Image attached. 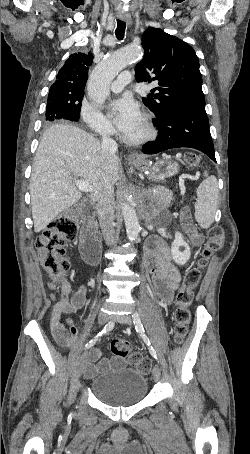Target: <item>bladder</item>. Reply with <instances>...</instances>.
<instances>
[{
	"instance_id": "obj_1",
	"label": "bladder",
	"mask_w": 250,
	"mask_h": 454,
	"mask_svg": "<svg viewBox=\"0 0 250 454\" xmlns=\"http://www.w3.org/2000/svg\"><path fill=\"white\" fill-rule=\"evenodd\" d=\"M120 365L121 362L117 369L104 371L90 383L91 393L108 406L135 405L145 398L148 391V379L143 372Z\"/></svg>"
}]
</instances>
